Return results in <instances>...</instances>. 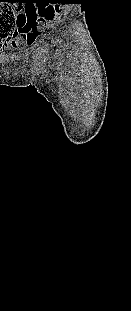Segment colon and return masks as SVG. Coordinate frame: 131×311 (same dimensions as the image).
Wrapping results in <instances>:
<instances>
[{
    "mask_svg": "<svg viewBox=\"0 0 131 311\" xmlns=\"http://www.w3.org/2000/svg\"><path fill=\"white\" fill-rule=\"evenodd\" d=\"M18 19L29 22L31 18L29 16L18 17L10 10L0 8V31H2L3 29H11L14 24H16Z\"/></svg>",
    "mask_w": 131,
    "mask_h": 311,
    "instance_id": "5ec220e1",
    "label": "colon"
}]
</instances>
